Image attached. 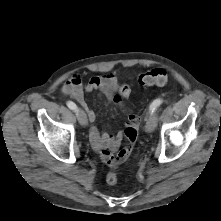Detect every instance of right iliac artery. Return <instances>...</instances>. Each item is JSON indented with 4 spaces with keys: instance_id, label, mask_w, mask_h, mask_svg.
Returning a JSON list of instances; mask_svg holds the SVG:
<instances>
[{
    "instance_id": "1",
    "label": "right iliac artery",
    "mask_w": 221,
    "mask_h": 221,
    "mask_svg": "<svg viewBox=\"0 0 221 221\" xmlns=\"http://www.w3.org/2000/svg\"><path fill=\"white\" fill-rule=\"evenodd\" d=\"M67 106H68L71 110H74V111H76V109H77L76 104H75L74 102H72V101H68V102H67Z\"/></svg>"
}]
</instances>
